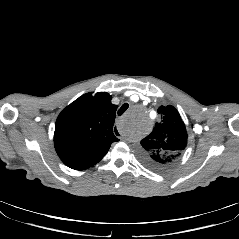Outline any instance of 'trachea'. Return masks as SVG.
Here are the masks:
<instances>
[{"instance_id":"obj_1","label":"trachea","mask_w":239,"mask_h":239,"mask_svg":"<svg viewBox=\"0 0 239 239\" xmlns=\"http://www.w3.org/2000/svg\"><path fill=\"white\" fill-rule=\"evenodd\" d=\"M128 107L129 105L127 103L123 104L118 110V115L121 116L128 109Z\"/></svg>"}]
</instances>
